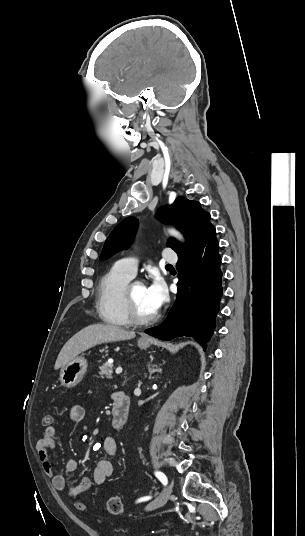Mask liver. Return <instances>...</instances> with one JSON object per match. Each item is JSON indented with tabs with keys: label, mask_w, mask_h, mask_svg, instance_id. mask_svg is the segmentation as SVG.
I'll use <instances>...</instances> for the list:
<instances>
[{
	"label": "liver",
	"mask_w": 305,
	"mask_h": 536,
	"mask_svg": "<svg viewBox=\"0 0 305 536\" xmlns=\"http://www.w3.org/2000/svg\"><path fill=\"white\" fill-rule=\"evenodd\" d=\"M135 338V332H128L120 326H104V324H94L87 326L81 332L75 334L63 346L54 366V370H59L62 366H66L68 362L74 360L81 352H86L89 348L97 346V344H105V342H120V340H132Z\"/></svg>",
	"instance_id": "6515ba94"
}]
</instances>
